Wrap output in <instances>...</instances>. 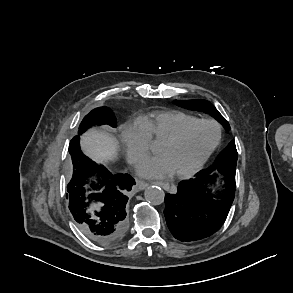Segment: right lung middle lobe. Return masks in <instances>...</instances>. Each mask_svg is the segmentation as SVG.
I'll use <instances>...</instances> for the list:
<instances>
[{
    "label": "right lung middle lobe",
    "mask_w": 293,
    "mask_h": 293,
    "mask_svg": "<svg viewBox=\"0 0 293 293\" xmlns=\"http://www.w3.org/2000/svg\"><path fill=\"white\" fill-rule=\"evenodd\" d=\"M104 124L116 127V118L107 107L96 108L84 117L79 126L78 134H82L93 125Z\"/></svg>",
    "instance_id": "1"
}]
</instances>
